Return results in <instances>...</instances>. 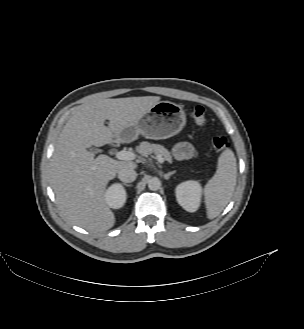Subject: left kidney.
<instances>
[{"mask_svg": "<svg viewBox=\"0 0 304 329\" xmlns=\"http://www.w3.org/2000/svg\"><path fill=\"white\" fill-rule=\"evenodd\" d=\"M176 199L180 206L188 212H195L200 206L202 187L198 181H185L175 190Z\"/></svg>", "mask_w": 304, "mask_h": 329, "instance_id": "1", "label": "left kidney"}]
</instances>
